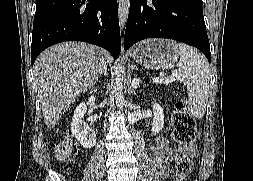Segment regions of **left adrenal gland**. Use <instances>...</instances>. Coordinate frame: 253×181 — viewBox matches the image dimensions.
Here are the masks:
<instances>
[{"instance_id":"obj_1","label":"left adrenal gland","mask_w":253,"mask_h":181,"mask_svg":"<svg viewBox=\"0 0 253 181\" xmlns=\"http://www.w3.org/2000/svg\"><path fill=\"white\" fill-rule=\"evenodd\" d=\"M135 81V80H134ZM133 81V82H134ZM130 93H135V88H134V86H133V84L131 83V87H130Z\"/></svg>"}]
</instances>
